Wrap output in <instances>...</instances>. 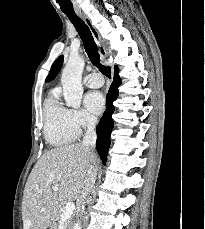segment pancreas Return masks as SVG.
<instances>
[{
	"mask_svg": "<svg viewBox=\"0 0 205 229\" xmlns=\"http://www.w3.org/2000/svg\"><path fill=\"white\" fill-rule=\"evenodd\" d=\"M61 221V214L58 212L55 216V222L51 225L50 229H59V222ZM72 222L68 219L64 222V229H71Z\"/></svg>",
	"mask_w": 205,
	"mask_h": 229,
	"instance_id": "1",
	"label": "pancreas"
}]
</instances>
